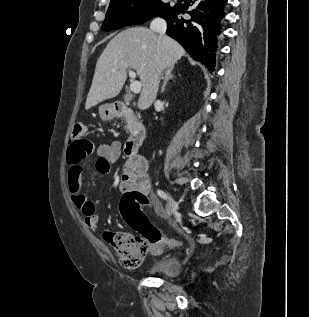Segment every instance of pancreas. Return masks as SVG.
Segmentation results:
<instances>
[{
	"label": "pancreas",
	"instance_id": "1",
	"mask_svg": "<svg viewBox=\"0 0 309 317\" xmlns=\"http://www.w3.org/2000/svg\"><path fill=\"white\" fill-rule=\"evenodd\" d=\"M125 128L127 129V132H128V127L126 126Z\"/></svg>",
	"mask_w": 309,
	"mask_h": 317
}]
</instances>
